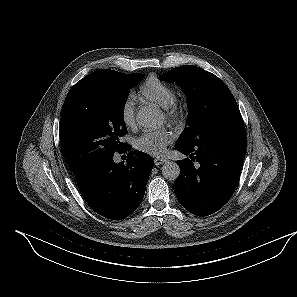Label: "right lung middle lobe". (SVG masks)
I'll return each mask as SVG.
<instances>
[{"instance_id": "right-lung-middle-lobe-1", "label": "right lung middle lobe", "mask_w": 297, "mask_h": 297, "mask_svg": "<svg viewBox=\"0 0 297 297\" xmlns=\"http://www.w3.org/2000/svg\"><path fill=\"white\" fill-rule=\"evenodd\" d=\"M143 74L117 73L105 83L82 86L68 93L60 123V140L65 158L74 174L127 145L123 111L129 89Z\"/></svg>"}]
</instances>
